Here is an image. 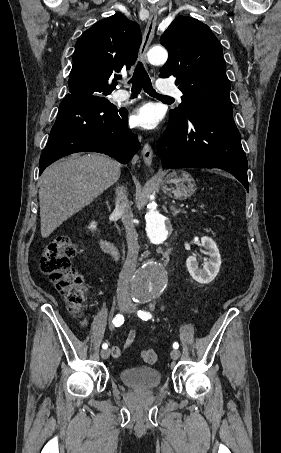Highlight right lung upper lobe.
I'll list each match as a JSON object with an SVG mask.
<instances>
[{"instance_id": "obj_1", "label": "right lung upper lobe", "mask_w": 281, "mask_h": 453, "mask_svg": "<svg viewBox=\"0 0 281 453\" xmlns=\"http://www.w3.org/2000/svg\"><path fill=\"white\" fill-rule=\"evenodd\" d=\"M141 40L138 24L122 14L86 30L76 43L65 98L110 94L117 85L113 74L135 63Z\"/></svg>"}]
</instances>
